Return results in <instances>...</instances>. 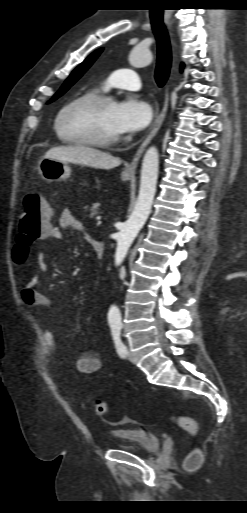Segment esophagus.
<instances>
[{
    "label": "esophagus",
    "mask_w": 247,
    "mask_h": 513,
    "mask_svg": "<svg viewBox=\"0 0 247 513\" xmlns=\"http://www.w3.org/2000/svg\"><path fill=\"white\" fill-rule=\"evenodd\" d=\"M166 24L169 28L171 27V24L169 21H166ZM168 99H169L168 92L166 89L165 94H164V102L162 105V109L159 110L158 106L155 107L154 119L149 128L148 134H147L146 138L143 140V142L141 143V145L139 146L138 150L136 151L131 163L125 169L124 173L126 175H134L136 173V169H137L138 163L140 161V158H141L143 152L145 151L147 145L150 143L152 138L157 134L158 130L160 129V127L163 123V120H164V117L166 114V110H167V106H168Z\"/></svg>",
    "instance_id": "34e87169"
}]
</instances>
